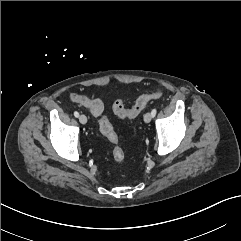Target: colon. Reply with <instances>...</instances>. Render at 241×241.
Here are the masks:
<instances>
[{
    "instance_id": "obj_1",
    "label": "colon",
    "mask_w": 241,
    "mask_h": 241,
    "mask_svg": "<svg viewBox=\"0 0 241 241\" xmlns=\"http://www.w3.org/2000/svg\"><path fill=\"white\" fill-rule=\"evenodd\" d=\"M161 93L162 90L157 88L148 94L142 95L130 108L126 107L123 101L116 100L112 106L113 111L118 117L123 119L134 117L140 114L150 102L158 99L161 96ZM99 127L101 133L114 145L112 151L113 159L116 162H122L125 159V153L123 149L118 145L119 138L107 116L103 115L100 117Z\"/></svg>"
}]
</instances>
